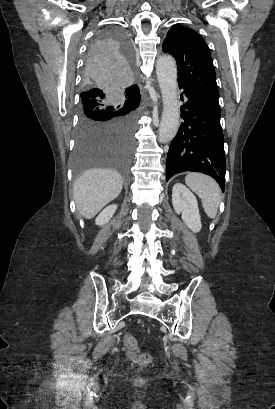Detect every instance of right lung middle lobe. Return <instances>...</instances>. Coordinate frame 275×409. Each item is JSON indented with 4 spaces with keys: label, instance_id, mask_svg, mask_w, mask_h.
<instances>
[{
    "label": "right lung middle lobe",
    "instance_id": "dd1d6c3e",
    "mask_svg": "<svg viewBox=\"0 0 275 409\" xmlns=\"http://www.w3.org/2000/svg\"><path fill=\"white\" fill-rule=\"evenodd\" d=\"M122 24H106L91 41L81 77L79 123L72 155L75 182L92 167L108 165L129 181L135 150L136 112L140 100L121 95L132 84L134 43ZM105 167V166H104ZM82 171V172H81ZM73 181V178H70Z\"/></svg>",
    "mask_w": 275,
    "mask_h": 409
}]
</instances>
